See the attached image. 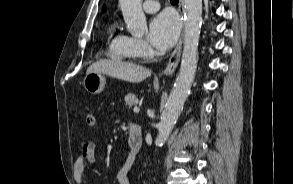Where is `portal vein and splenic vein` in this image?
<instances>
[{"instance_id":"1","label":"portal vein and splenic vein","mask_w":293,"mask_h":184,"mask_svg":"<svg viewBox=\"0 0 293 184\" xmlns=\"http://www.w3.org/2000/svg\"><path fill=\"white\" fill-rule=\"evenodd\" d=\"M133 111H134L135 113H138V112L140 111V109H139L138 107H135V108L133 109Z\"/></svg>"}]
</instances>
